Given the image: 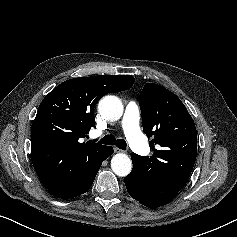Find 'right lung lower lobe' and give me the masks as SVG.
Segmentation results:
<instances>
[{"mask_svg":"<svg viewBox=\"0 0 237 237\" xmlns=\"http://www.w3.org/2000/svg\"><path fill=\"white\" fill-rule=\"evenodd\" d=\"M113 153L112 147L107 146L105 150L99 155L94 158H91L87 161H83L80 163L79 171L80 175L83 177V181L80 187L75 191L69 194H61V193H51L54 197L61 198V199H69L76 196H79L88 191L91 187L95 176L102 164V162L108 158Z\"/></svg>","mask_w":237,"mask_h":237,"instance_id":"right-lung-lower-lobe-1","label":"right lung lower lobe"}]
</instances>
